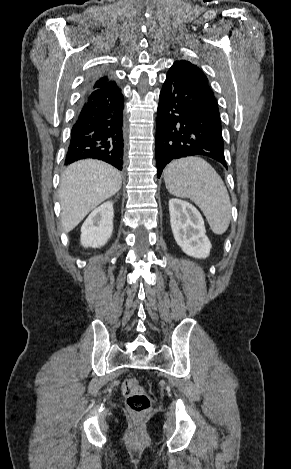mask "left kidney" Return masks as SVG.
Returning a JSON list of instances; mask_svg holds the SVG:
<instances>
[{
    "label": "left kidney",
    "mask_w": 291,
    "mask_h": 469,
    "mask_svg": "<svg viewBox=\"0 0 291 469\" xmlns=\"http://www.w3.org/2000/svg\"><path fill=\"white\" fill-rule=\"evenodd\" d=\"M169 212L175 241L183 252L194 258H207L212 246L200 212L189 202L176 198L169 200Z\"/></svg>",
    "instance_id": "1"
}]
</instances>
